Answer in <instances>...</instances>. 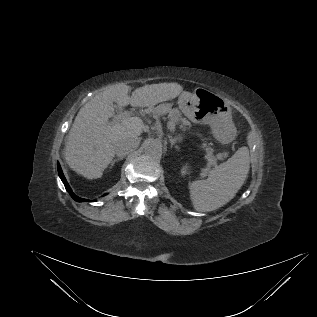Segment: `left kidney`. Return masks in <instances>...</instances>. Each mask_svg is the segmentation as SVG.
<instances>
[{"mask_svg":"<svg viewBox=\"0 0 317 317\" xmlns=\"http://www.w3.org/2000/svg\"><path fill=\"white\" fill-rule=\"evenodd\" d=\"M188 170H189V168H188L187 165L183 166V167L181 168V175H182V176L187 175V174H188Z\"/></svg>","mask_w":317,"mask_h":317,"instance_id":"obj_1","label":"left kidney"}]
</instances>
